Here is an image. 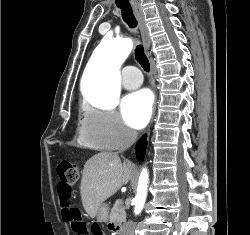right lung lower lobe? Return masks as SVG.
Instances as JSON below:
<instances>
[{
	"label": "right lung lower lobe",
	"mask_w": 250,
	"mask_h": 235,
	"mask_svg": "<svg viewBox=\"0 0 250 235\" xmlns=\"http://www.w3.org/2000/svg\"><path fill=\"white\" fill-rule=\"evenodd\" d=\"M146 145V136H143L136 145V153L139 161H142L144 158Z\"/></svg>",
	"instance_id": "obj_1"
}]
</instances>
